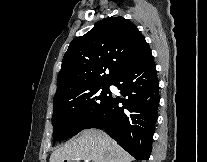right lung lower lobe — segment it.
<instances>
[{
	"label": "right lung lower lobe",
	"instance_id": "1",
	"mask_svg": "<svg viewBox=\"0 0 207 162\" xmlns=\"http://www.w3.org/2000/svg\"><path fill=\"white\" fill-rule=\"evenodd\" d=\"M111 85L128 99L120 107L119 98L112 97L85 129H105L134 158L148 160L160 101L153 57L130 66Z\"/></svg>",
	"mask_w": 207,
	"mask_h": 162
}]
</instances>
